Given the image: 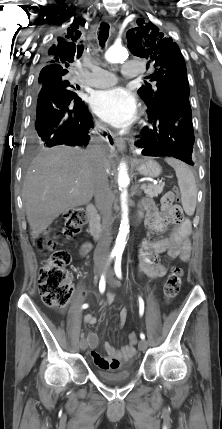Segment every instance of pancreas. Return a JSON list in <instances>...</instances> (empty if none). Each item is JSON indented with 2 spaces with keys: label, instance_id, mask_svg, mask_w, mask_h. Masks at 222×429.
Here are the masks:
<instances>
[{
  "label": "pancreas",
  "instance_id": "pancreas-1",
  "mask_svg": "<svg viewBox=\"0 0 222 429\" xmlns=\"http://www.w3.org/2000/svg\"><path fill=\"white\" fill-rule=\"evenodd\" d=\"M163 187H164L163 184H159V185L148 184L146 185L144 192L150 198L157 197L163 191Z\"/></svg>",
  "mask_w": 222,
  "mask_h": 429
}]
</instances>
